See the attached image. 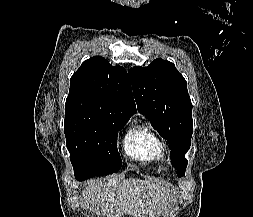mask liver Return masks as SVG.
I'll return each instance as SVG.
<instances>
[{
    "mask_svg": "<svg viewBox=\"0 0 253 217\" xmlns=\"http://www.w3.org/2000/svg\"><path fill=\"white\" fill-rule=\"evenodd\" d=\"M83 206L97 217H168L175 200L171 191L152 181L110 176L90 181L82 191Z\"/></svg>",
    "mask_w": 253,
    "mask_h": 217,
    "instance_id": "obj_1",
    "label": "liver"
}]
</instances>
